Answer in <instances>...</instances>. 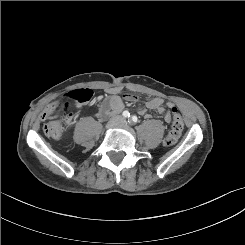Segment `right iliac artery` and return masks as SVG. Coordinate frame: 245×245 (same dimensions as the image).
<instances>
[{"label": "right iliac artery", "mask_w": 245, "mask_h": 245, "mask_svg": "<svg viewBox=\"0 0 245 245\" xmlns=\"http://www.w3.org/2000/svg\"><path fill=\"white\" fill-rule=\"evenodd\" d=\"M122 115H123L124 118L130 117V113H129L128 111H124V112L122 113Z\"/></svg>", "instance_id": "obj_1"}]
</instances>
